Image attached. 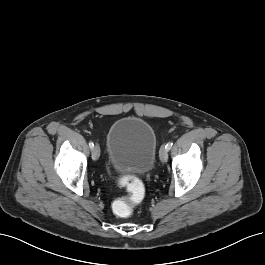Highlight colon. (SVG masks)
I'll return each instance as SVG.
<instances>
[{
    "label": "colon",
    "instance_id": "1",
    "mask_svg": "<svg viewBox=\"0 0 265 265\" xmlns=\"http://www.w3.org/2000/svg\"><path fill=\"white\" fill-rule=\"evenodd\" d=\"M124 186L130 193L128 199H122L115 204V210L118 216L128 217L132 214L134 206L143 199V185L141 181L133 176L128 175L121 180Z\"/></svg>",
    "mask_w": 265,
    "mask_h": 265
}]
</instances>
